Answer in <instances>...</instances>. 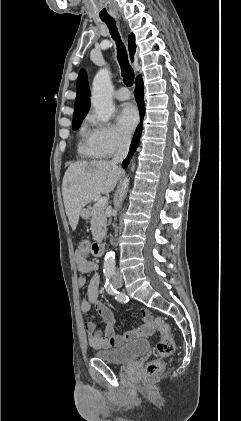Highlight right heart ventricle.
<instances>
[{"label": "right heart ventricle", "instance_id": "obj_1", "mask_svg": "<svg viewBox=\"0 0 241 421\" xmlns=\"http://www.w3.org/2000/svg\"><path fill=\"white\" fill-rule=\"evenodd\" d=\"M79 152L85 157H99L92 145L89 132L85 127L81 129V140L79 143Z\"/></svg>", "mask_w": 241, "mask_h": 421}]
</instances>
